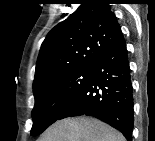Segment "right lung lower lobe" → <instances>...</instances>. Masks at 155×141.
I'll list each match as a JSON object with an SVG mask.
<instances>
[{
    "label": "right lung lower lobe",
    "instance_id": "obj_1",
    "mask_svg": "<svg viewBox=\"0 0 155 141\" xmlns=\"http://www.w3.org/2000/svg\"><path fill=\"white\" fill-rule=\"evenodd\" d=\"M78 115L97 117L132 139L133 88L123 34L103 53L88 82L59 119Z\"/></svg>",
    "mask_w": 155,
    "mask_h": 141
}]
</instances>
